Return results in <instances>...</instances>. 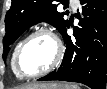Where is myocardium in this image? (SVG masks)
<instances>
[{
    "label": "myocardium",
    "instance_id": "f54148a6",
    "mask_svg": "<svg viewBox=\"0 0 107 89\" xmlns=\"http://www.w3.org/2000/svg\"><path fill=\"white\" fill-rule=\"evenodd\" d=\"M39 34H45L50 36L55 45H56V56L54 58V60L52 61V63L44 70L39 71L37 73H33V74H25L20 70L19 67V58H20V54L24 48V46L26 45V43L33 38L34 36H37ZM63 58V45L62 42L60 41L59 37L57 36V34L47 28V27H40L35 29L34 31H32L31 33H29L18 45L16 53H15V57H14V68L16 70V72L18 73V75L22 78H36V77H40L43 76L49 72H51L52 70H54L61 62Z\"/></svg>",
    "mask_w": 107,
    "mask_h": 89
}]
</instances>
